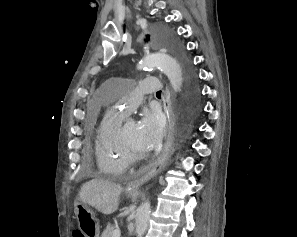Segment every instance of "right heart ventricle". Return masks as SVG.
I'll return each instance as SVG.
<instances>
[{"label": "right heart ventricle", "mask_w": 297, "mask_h": 237, "mask_svg": "<svg viewBox=\"0 0 297 237\" xmlns=\"http://www.w3.org/2000/svg\"><path fill=\"white\" fill-rule=\"evenodd\" d=\"M124 115L108 112L102 118L96 132L95 156L99 170L106 176L121 175L131 164L122 150L117 132Z\"/></svg>", "instance_id": "obj_1"}]
</instances>
